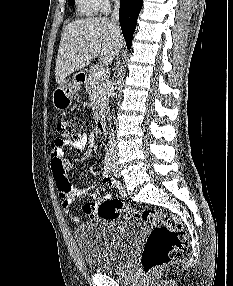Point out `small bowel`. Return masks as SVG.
I'll return each mask as SVG.
<instances>
[{"mask_svg": "<svg viewBox=\"0 0 233 286\" xmlns=\"http://www.w3.org/2000/svg\"><path fill=\"white\" fill-rule=\"evenodd\" d=\"M70 144L79 150H83L88 145V137L84 134L78 141L72 143L63 142L56 139L49 154L50 167L55 185L62 199L61 206L63 212L65 214H69L74 221L81 222L88 218L94 217L97 204L93 202L86 203L83 206L81 214L78 215L71 213V206L73 202L88 192L90 188H74L69 182L67 175L69 162L64 159V147ZM103 183L110 188L116 187V182L109 176L104 177ZM105 198H108V196Z\"/></svg>", "mask_w": 233, "mask_h": 286, "instance_id": "c3829d8e", "label": "small bowel"}]
</instances>
